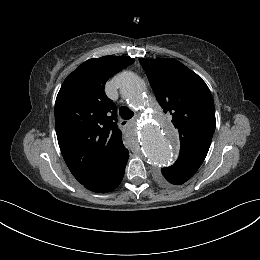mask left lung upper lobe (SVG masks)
<instances>
[{
    "mask_svg": "<svg viewBox=\"0 0 260 260\" xmlns=\"http://www.w3.org/2000/svg\"><path fill=\"white\" fill-rule=\"evenodd\" d=\"M157 100L179 132L180 153L168 169L196 172L203 163L215 131L212 95L205 82L173 58L139 59Z\"/></svg>",
    "mask_w": 260,
    "mask_h": 260,
    "instance_id": "left-lung-upper-lobe-1",
    "label": "left lung upper lobe"
}]
</instances>
